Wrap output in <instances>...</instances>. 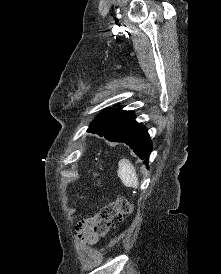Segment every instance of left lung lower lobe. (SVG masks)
Wrapping results in <instances>:
<instances>
[{
    "mask_svg": "<svg viewBox=\"0 0 221 274\" xmlns=\"http://www.w3.org/2000/svg\"><path fill=\"white\" fill-rule=\"evenodd\" d=\"M87 131L109 141L126 143L148 164L152 142L147 129L135 121L132 111L108 108L97 116Z\"/></svg>",
    "mask_w": 221,
    "mask_h": 274,
    "instance_id": "1",
    "label": "left lung lower lobe"
}]
</instances>
